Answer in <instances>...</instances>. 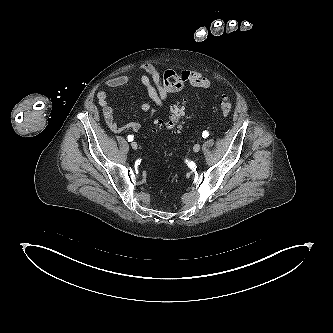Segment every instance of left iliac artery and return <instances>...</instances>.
Segmentation results:
<instances>
[{
  "label": "left iliac artery",
  "instance_id": "obj_1",
  "mask_svg": "<svg viewBox=\"0 0 333 333\" xmlns=\"http://www.w3.org/2000/svg\"><path fill=\"white\" fill-rule=\"evenodd\" d=\"M209 136V133H208V131H203V133H202V137L203 138H207Z\"/></svg>",
  "mask_w": 333,
  "mask_h": 333
}]
</instances>
